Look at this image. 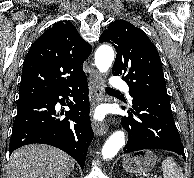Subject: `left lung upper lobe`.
I'll return each mask as SVG.
<instances>
[{
  "label": "left lung upper lobe",
  "instance_id": "5c2ea615",
  "mask_svg": "<svg viewBox=\"0 0 194 178\" xmlns=\"http://www.w3.org/2000/svg\"><path fill=\"white\" fill-rule=\"evenodd\" d=\"M116 49L113 75L122 79L130 92L166 94V83L158 51L147 35L131 23L118 20L111 23L99 38Z\"/></svg>",
  "mask_w": 194,
  "mask_h": 178
}]
</instances>
